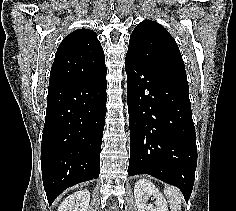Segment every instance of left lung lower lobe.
Segmentation results:
<instances>
[{"label":"left lung lower lobe","mask_w":236,"mask_h":211,"mask_svg":"<svg viewBox=\"0 0 236 211\" xmlns=\"http://www.w3.org/2000/svg\"><path fill=\"white\" fill-rule=\"evenodd\" d=\"M129 176L149 174L191 195L197 146L188 83L126 58Z\"/></svg>","instance_id":"0a47b994"}]
</instances>
